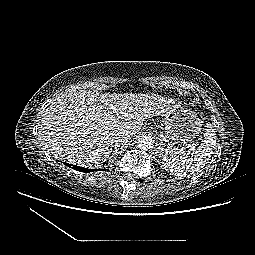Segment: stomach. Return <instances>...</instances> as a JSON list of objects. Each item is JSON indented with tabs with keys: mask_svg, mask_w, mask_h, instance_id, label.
Returning a JSON list of instances; mask_svg holds the SVG:
<instances>
[{
	"mask_svg": "<svg viewBox=\"0 0 255 255\" xmlns=\"http://www.w3.org/2000/svg\"><path fill=\"white\" fill-rule=\"evenodd\" d=\"M202 121L198 115L179 103H172L164 113V129L176 143L194 140L200 133Z\"/></svg>",
	"mask_w": 255,
	"mask_h": 255,
	"instance_id": "obj_1",
	"label": "stomach"
}]
</instances>
